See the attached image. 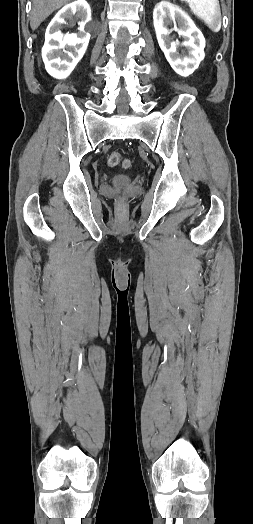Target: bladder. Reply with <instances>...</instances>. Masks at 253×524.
<instances>
[{
  "instance_id": "bladder-1",
  "label": "bladder",
  "mask_w": 253,
  "mask_h": 524,
  "mask_svg": "<svg viewBox=\"0 0 253 524\" xmlns=\"http://www.w3.org/2000/svg\"><path fill=\"white\" fill-rule=\"evenodd\" d=\"M130 183H131L130 178L126 176H120L115 179V184L118 186H127Z\"/></svg>"
}]
</instances>
